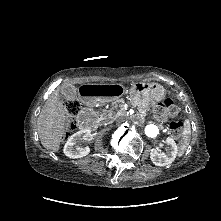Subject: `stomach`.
<instances>
[{
  "label": "stomach",
  "instance_id": "obj_1",
  "mask_svg": "<svg viewBox=\"0 0 221 221\" xmlns=\"http://www.w3.org/2000/svg\"><path fill=\"white\" fill-rule=\"evenodd\" d=\"M129 94L134 105L148 107L163 98L165 89L155 82H136L130 88Z\"/></svg>",
  "mask_w": 221,
  "mask_h": 221
}]
</instances>
